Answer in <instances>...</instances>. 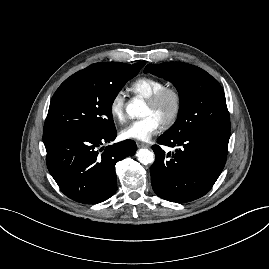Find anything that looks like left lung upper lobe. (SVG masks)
Here are the masks:
<instances>
[{
	"mask_svg": "<svg viewBox=\"0 0 269 269\" xmlns=\"http://www.w3.org/2000/svg\"><path fill=\"white\" fill-rule=\"evenodd\" d=\"M147 72L172 82L179 92L178 118L164 135L181 136L198 129L230 131L224 91L206 71L182 62H165L148 64Z\"/></svg>",
	"mask_w": 269,
	"mask_h": 269,
	"instance_id": "obj_1",
	"label": "left lung upper lobe"
}]
</instances>
